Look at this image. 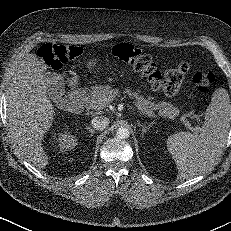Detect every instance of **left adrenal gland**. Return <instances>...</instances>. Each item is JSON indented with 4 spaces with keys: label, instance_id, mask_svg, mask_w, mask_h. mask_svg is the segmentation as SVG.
Here are the masks:
<instances>
[{
    "label": "left adrenal gland",
    "instance_id": "a2214340",
    "mask_svg": "<svg viewBox=\"0 0 231 231\" xmlns=\"http://www.w3.org/2000/svg\"><path fill=\"white\" fill-rule=\"evenodd\" d=\"M137 124L139 127H142V137L144 136V134L150 129L151 125L149 127L145 126V125H142L140 123V121H137Z\"/></svg>",
    "mask_w": 231,
    "mask_h": 231
}]
</instances>
